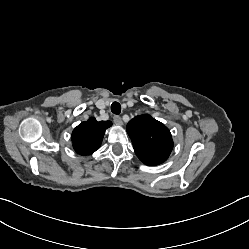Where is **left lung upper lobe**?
<instances>
[{"mask_svg": "<svg viewBox=\"0 0 249 249\" xmlns=\"http://www.w3.org/2000/svg\"><path fill=\"white\" fill-rule=\"evenodd\" d=\"M137 157L146 165L165 162L173 148L169 129L161 122L144 114L134 117L126 127Z\"/></svg>", "mask_w": 249, "mask_h": 249, "instance_id": "left-lung-upper-lobe-1", "label": "left lung upper lobe"}]
</instances>
